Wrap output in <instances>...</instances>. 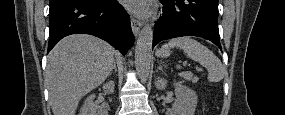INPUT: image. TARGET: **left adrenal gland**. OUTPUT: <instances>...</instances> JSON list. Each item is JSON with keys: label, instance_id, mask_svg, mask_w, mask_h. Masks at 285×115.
<instances>
[{"label": "left adrenal gland", "instance_id": "a2214340", "mask_svg": "<svg viewBox=\"0 0 285 115\" xmlns=\"http://www.w3.org/2000/svg\"><path fill=\"white\" fill-rule=\"evenodd\" d=\"M158 69H159V70H163L162 65H159V66H158Z\"/></svg>", "mask_w": 285, "mask_h": 115}]
</instances>
